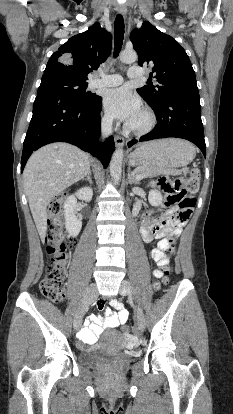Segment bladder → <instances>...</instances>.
I'll use <instances>...</instances> for the list:
<instances>
[{
	"label": "bladder",
	"mask_w": 233,
	"mask_h": 414,
	"mask_svg": "<svg viewBox=\"0 0 233 414\" xmlns=\"http://www.w3.org/2000/svg\"><path fill=\"white\" fill-rule=\"evenodd\" d=\"M110 334L112 338L108 339L109 341L106 345L81 354L80 359L84 364H97L121 355V346L117 342L121 339L120 333L112 331Z\"/></svg>",
	"instance_id": "1"
}]
</instances>
